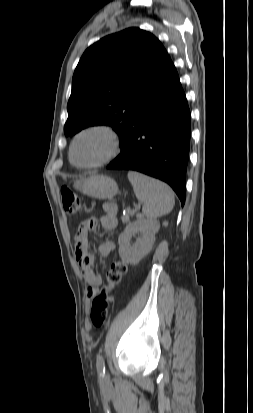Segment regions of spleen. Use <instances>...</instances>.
I'll return each mask as SVG.
<instances>
[{"instance_id": "obj_1", "label": "spleen", "mask_w": 253, "mask_h": 413, "mask_svg": "<svg viewBox=\"0 0 253 413\" xmlns=\"http://www.w3.org/2000/svg\"><path fill=\"white\" fill-rule=\"evenodd\" d=\"M128 179L146 217L156 219L172 211L175 198L167 184L136 171H129Z\"/></svg>"}]
</instances>
